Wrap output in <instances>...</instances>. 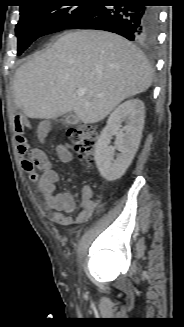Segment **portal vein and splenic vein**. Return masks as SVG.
<instances>
[{"label": "portal vein and splenic vein", "mask_w": 184, "mask_h": 327, "mask_svg": "<svg viewBox=\"0 0 184 327\" xmlns=\"http://www.w3.org/2000/svg\"><path fill=\"white\" fill-rule=\"evenodd\" d=\"M85 93H86V90L83 89V88H80V89H78V90L76 91V94H77L78 96H83V95H85Z\"/></svg>", "instance_id": "portal-vein-and-splenic-vein-1"}]
</instances>
